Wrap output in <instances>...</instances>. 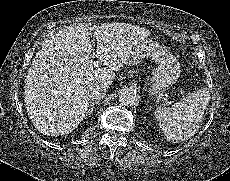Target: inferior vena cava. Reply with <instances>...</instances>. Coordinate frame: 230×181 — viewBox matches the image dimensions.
<instances>
[{"instance_id":"602c4592","label":"inferior vena cava","mask_w":230,"mask_h":181,"mask_svg":"<svg viewBox=\"0 0 230 181\" xmlns=\"http://www.w3.org/2000/svg\"><path fill=\"white\" fill-rule=\"evenodd\" d=\"M106 95V87L101 85H96L91 87L86 92V98L89 101H98Z\"/></svg>"}]
</instances>
